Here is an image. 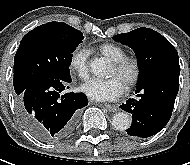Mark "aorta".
<instances>
[{"label": "aorta", "mask_w": 190, "mask_h": 165, "mask_svg": "<svg viewBox=\"0 0 190 165\" xmlns=\"http://www.w3.org/2000/svg\"><path fill=\"white\" fill-rule=\"evenodd\" d=\"M109 65L107 61L102 58L94 59L90 64L91 72L97 77H103L107 74ZM112 125L116 130L123 131L130 127L131 120L127 113H116L112 118Z\"/></svg>", "instance_id": "obj_1"}]
</instances>
